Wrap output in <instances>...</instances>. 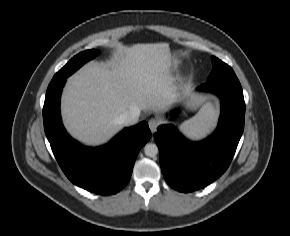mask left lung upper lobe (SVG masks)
Here are the masks:
<instances>
[{
	"instance_id": "5c2ea615",
	"label": "left lung upper lobe",
	"mask_w": 290,
	"mask_h": 236,
	"mask_svg": "<svg viewBox=\"0 0 290 236\" xmlns=\"http://www.w3.org/2000/svg\"><path fill=\"white\" fill-rule=\"evenodd\" d=\"M211 60L213 69L208 81L236 76L232 68L218 58L212 57Z\"/></svg>"
}]
</instances>
